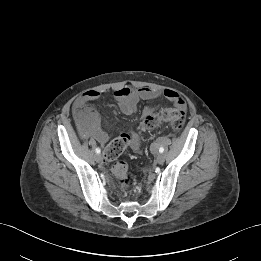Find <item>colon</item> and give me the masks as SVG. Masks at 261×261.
<instances>
[{
    "label": "colon",
    "instance_id": "obj_1",
    "mask_svg": "<svg viewBox=\"0 0 261 261\" xmlns=\"http://www.w3.org/2000/svg\"><path fill=\"white\" fill-rule=\"evenodd\" d=\"M186 112L184 109H164L160 112H149L144 115L142 127L153 129L162 123H168L175 132H180L185 124ZM131 137L128 134H121L112 140L104 150V162L110 164L116 160L131 144ZM118 186L126 189L131 183V176L128 166L124 162L116 163L113 167Z\"/></svg>",
    "mask_w": 261,
    "mask_h": 261
}]
</instances>
